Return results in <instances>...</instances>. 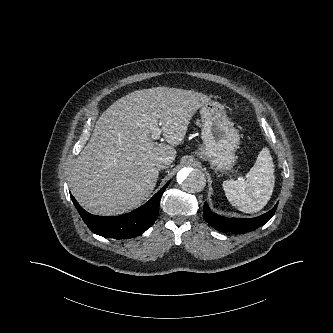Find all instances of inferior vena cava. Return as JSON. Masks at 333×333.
I'll list each match as a JSON object with an SVG mask.
<instances>
[{
  "instance_id": "obj_1",
  "label": "inferior vena cava",
  "mask_w": 333,
  "mask_h": 333,
  "mask_svg": "<svg viewBox=\"0 0 333 333\" xmlns=\"http://www.w3.org/2000/svg\"><path fill=\"white\" fill-rule=\"evenodd\" d=\"M155 165L158 169H165L170 165V162L167 158H159Z\"/></svg>"
}]
</instances>
